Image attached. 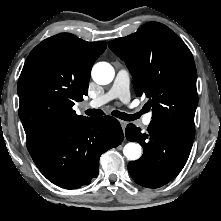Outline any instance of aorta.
<instances>
[{"mask_svg": "<svg viewBox=\"0 0 221 221\" xmlns=\"http://www.w3.org/2000/svg\"><path fill=\"white\" fill-rule=\"evenodd\" d=\"M114 68L107 62H99L92 68V78L100 85L109 84L114 78ZM123 153L129 160H137L140 158L142 148L138 143L130 142L125 145Z\"/></svg>", "mask_w": 221, "mask_h": 221, "instance_id": "aorta-1", "label": "aorta"}]
</instances>
